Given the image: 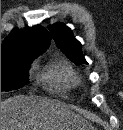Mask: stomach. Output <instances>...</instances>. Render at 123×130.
I'll list each match as a JSON object with an SVG mask.
<instances>
[{
	"label": "stomach",
	"mask_w": 123,
	"mask_h": 130,
	"mask_svg": "<svg viewBox=\"0 0 123 130\" xmlns=\"http://www.w3.org/2000/svg\"><path fill=\"white\" fill-rule=\"evenodd\" d=\"M75 130H88L87 128H85V129H79V128H76Z\"/></svg>",
	"instance_id": "1"
}]
</instances>
